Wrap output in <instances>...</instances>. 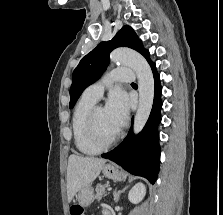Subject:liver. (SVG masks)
<instances>
[{
	"mask_svg": "<svg viewBox=\"0 0 223 215\" xmlns=\"http://www.w3.org/2000/svg\"><path fill=\"white\" fill-rule=\"evenodd\" d=\"M106 159L101 157H81V155H69L67 165V195L68 201H72L79 189L90 185L91 181L99 175Z\"/></svg>",
	"mask_w": 223,
	"mask_h": 215,
	"instance_id": "obj_1",
	"label": "liver"
}]
</instances>
